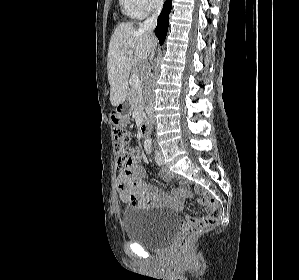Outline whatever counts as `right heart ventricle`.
Returning a JSON list of instances; mask_svg holds the SVG:
<instances>
[{"instance_id":"1","label":"right heart ventricle","mask_w":299,"mask_h":280,"mask_svg":"<svg viewBox=\"0 0 299 280\" xmlns=\"http://www.w3.org/2000/svg\"><path fill=\"white\" fill-rule=\"evenodd\" d=\"M123 13L131 18H141L144 16L135 0H120Z\"/></svg>"}]
</instances>
